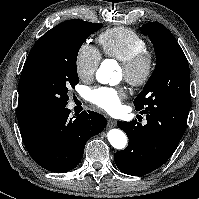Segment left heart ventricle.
<instances>
[{
  "label": "left heart ventricle",
  "mask_w": 199,
  "mask_h": 199,
  "mask_svg": "<svg viewBox=\"0 0 199 199\" xmlns=\"http://www.w3.org/2000/svg\"><path fill=\"white\" fill-rule=\"evenodd\" d=\"M120 73H121V75L124 77L125 76V72H124V70L121 68L120 69Z\"/></svg>",
  "instance_id": "obj_1"
}]
</instances>
